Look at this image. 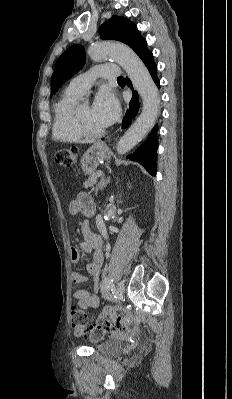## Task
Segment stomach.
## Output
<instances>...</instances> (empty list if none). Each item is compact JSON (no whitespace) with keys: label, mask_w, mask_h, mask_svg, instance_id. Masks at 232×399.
<instances>
[{"label":"stomach","mask_w":232,"mask_h":399,"mask_svg":"<svg viewBox=\"0 0 232 399\" xmlns=\"http://www.w3.org/2000/svg\"><path fill=\"white\" fill-rule=\"evenodd\" d=\"M107 158L108 150L106 144H103V142H95L91 148H88L87 152L83 154L80 160L84 174H93L100 162L107 160Z\"/></svg>","instance_id":"stomach-1"}]
</instances>
